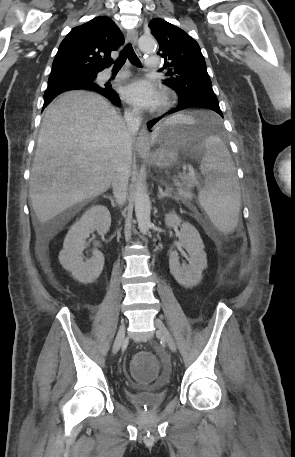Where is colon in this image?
<instances>
[{
	"label": "colon",
	"mask_w": 295,
	"mask_h": 457,
	"mask_svg": "<svg viewBox=\"0 0 295 457\" xmlns=\"http://www.w3.org/2000/svg\"><path fill=\"white\" fill-rule=\"evenodd\" d=\"M239 241H243V237H238ZM134 372L135 383H154V378H157L158 366L155 363L153 351H134L131 360Z\"/></svg>",
	"instance_id": "5ec220e1"
}]
</instances>
